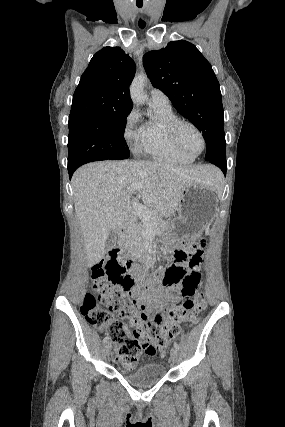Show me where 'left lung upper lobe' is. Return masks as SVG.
<instances>
[{"label":"left lung upper lobe","instance_id":"obj_1","mask_svg":"<svg viewBox=\"0 0 285 427\" xmlns=\"http://www.w3.org/2000/svg\"><path fill=\"white\" fill-rule=\"evenodd\" d=\"M143 63L152 85L202 132L205 159L225 152L220 86L200 51L185 40L172 41L166 48L146 53Z\"/></svg>","mask_w":285,"mask_h":427}]
</instances>
